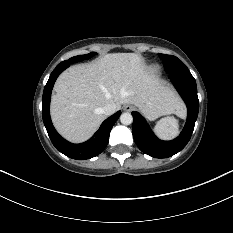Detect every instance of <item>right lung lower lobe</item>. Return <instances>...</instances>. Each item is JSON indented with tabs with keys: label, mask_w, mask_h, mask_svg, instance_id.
I'll return each instance as SVG.
<instances>
[{
	"label": "right lung lower lobe",
	"mask_w": 233,
	"mask_h": 233,
	"mask_svg": "<svg viewBox=\"0 0 233 233\" xmlns=\"http://www.w3.org/2000/svg\"><path fill=\"white\" fill-rule=\"evenodd\" d=\"M68 67L69 64H59L53 70L47 81V84L45 85L42 98L43 122L51 139V142L58 151L72 159H90L100 154L107 146L110 131L115 122L117 121L118 117L120 116L121 111H118L117 113L106 119L100 126L99 130L94 134V136L90 140L82 144H72L63 139L52 125L49 107L53 85L59 74Z\"/></svg>",
	"instance_id": "1"
}]
</instances>
